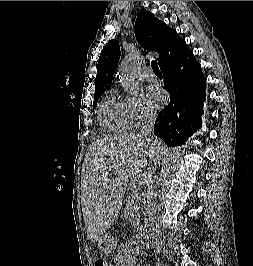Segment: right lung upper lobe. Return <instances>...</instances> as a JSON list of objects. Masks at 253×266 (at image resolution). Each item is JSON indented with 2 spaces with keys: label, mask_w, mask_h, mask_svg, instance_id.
Wrapping results in <instances>:
<instances>
[{
  "label": "right lung upper lobe",
  "mask_w": 253,
  "mask_h": 266,
  "mask_svg": "<svg viewBox=\"0 0 253 266\" xmlns=\"http://www.w3.org/2000/svg\"><path fill=\"white\" fill-rule=\"evenodd\" d=\"M135 36L142 47L159 53L160 67L174 61L188 49L186 42L175 30L145 9L141 10L137 16ZM119 58L118 41H109L99 56L94 98L101 96L103 87L112 80Z\"/></svg>",
  "instance_id": "1"
}]
</instances>
